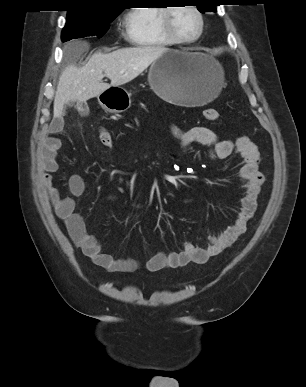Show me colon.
<instances>
[{
	"label": "colon",
	"instance_id": "colon-1",
	"mask_svg": "<svg viewBox=\"0 0 306 387\" xmlns=\"http://www.w3.org/2000/svg\"><path fill=\"white\" fill-rule=\"evenodd\" d=\"M203 116L207 121L213 122L219 118V113L217 110L209 108V109H205L203 111ZM98 137H99V141L102 145L107 146V147L112 145V136L108 130L101 129L99 131Z\"/></svg>",
	"mask_w": 306,
	"mask_h": 387
}]
</instances>
